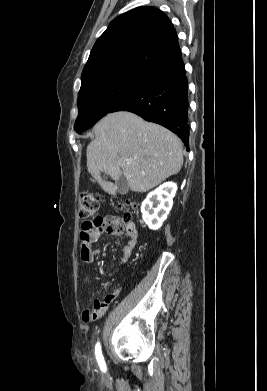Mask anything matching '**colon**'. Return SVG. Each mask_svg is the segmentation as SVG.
I'll return each mask as SVG.
<instances>
[{
    "instance_id": "colon-1",
    "label": "colon",
    "mask_w": 267,
    "mask_h": 391,
    "mask_svg": "<svg viewBox=\"0 0 267 391\" xmlns=\"http://www.w3.org/2000/svg\"><path fill=\"white\" fill-rule=\"evenodd\" d=\"M102 203V196L89 192L84 191L79 196V202H78V211L80 218L87 222L89 219H93V221L98 222L100 220V216H98V211L100 209V205ZM120 209L122 210V215L117 219V221L120 224H125L130 221L132 214L137 209V203L127 201L120 204ZM83 222V223H84ZM81 241V247L83 249L87 248V239L86 238H80Z\"/></svg>"
}]
</instances>
